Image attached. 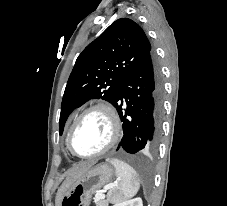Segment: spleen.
<instances>
[{
  "mask_svg": "<svg viewBox=\"0 0 227 206\" xmlns=\"http://www.w3.org/2000/svg\"><path fill=\"white\" fill-rule=\"evenodd\" d=\"M109 161L115 167L116 176L120 180L110 192L111 203H118L136 195L140 187L136 171L119 159L113 158Z\"/></svg>",
  "mask_w": 227,
  "mask_h": 206,
  "instance_id": "1",
  "label": "spleen"
}]
</instances>
